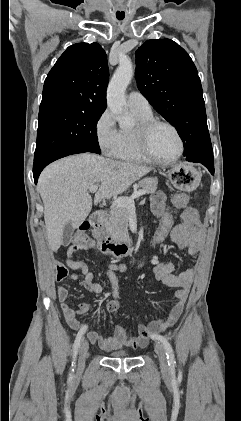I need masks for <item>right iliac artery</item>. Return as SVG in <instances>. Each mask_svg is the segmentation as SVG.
<instances>
[{"instance_id":"obj_1","label":"right iliac artery","mask_w":241,"mask_h":421,"mask_svg":"<svg viewBox=\"0 0 241 421\" xmlns=\"http://www.w3.org/2000/svg\"><path fill=\"white\" fill-rule=\"evenodd\" d=\"M86 329H87V326H84L83 328H81L80 331L78 332L77 336H76V339H75V342H74V345H73V363H72L73 368H72V371H71L70 375H72V373L74 371L76 356H77L78 349L80 347V343L82 341L83 335L86 332Z\"/></svg>"}]
</instances>
